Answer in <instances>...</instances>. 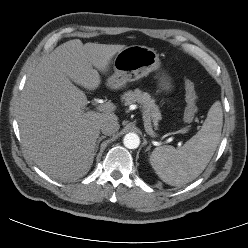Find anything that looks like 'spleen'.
<instances>
[{
    "instance_id": "1",
    "label": "spleen",
    "mask_w": 248,
    "mask_h": 248,
    "mask_svg": "<svg viewBox=\"0 0 248 248\" xmlns=\"http://www.w3.org/2000/svg\"><path fill=\"white\" fill-rule=\"evenodd\" d=\"M223 113L215 102L201 129L181 148L165 145L150 155V164L158 177L168 185L182 186L196 179L210 162L220 141Z\"/></svg>"
}]
</instances>
